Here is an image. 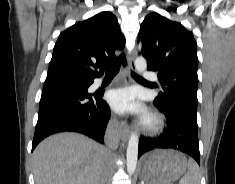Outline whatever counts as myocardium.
Instances as JSON below:
<instances>
[{
	"label": "myocardium",
	"mask_w": 235,
	"mask_h": 184,
	"mask_svg": "<svg viewBox=\"0 0 235 184\" xmlns=\"http://www.w3.org/2000/svg\"><path fill=\"white\" fill-rule=\"evenodd\" d=\"M164 124L162 115L156 111H150L140 122V131L148 136L160 132Z\"/></svg>",
	"instance_id": "f54148a6"
}]
</instances>
